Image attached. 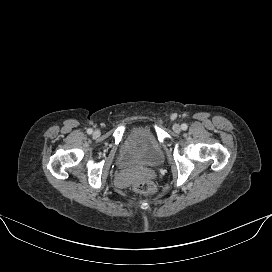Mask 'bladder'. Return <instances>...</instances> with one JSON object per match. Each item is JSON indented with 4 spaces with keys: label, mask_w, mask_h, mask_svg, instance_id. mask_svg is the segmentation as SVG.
Instances as JSON below:
<instances>
[{
    "label": "bladder",
    "mask_w": 272,
    "mask_h": 272,
    "mask_svg": "<svg viewBox=\"0 0 272 272\" xmlns=\"http://www.w3.org/2000/svg\"><path fill=\"white\" fill-rule=\"evenodd\" d=\"M163 161V150L148 126L134 127L119 145L117 163L120 167L154 165Z\"/></svg>",
    "instance_id": "1"
}]
</instances>
